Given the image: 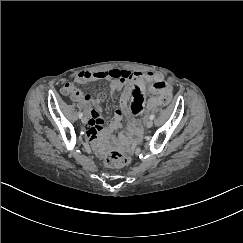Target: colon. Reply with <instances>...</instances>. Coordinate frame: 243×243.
<instances>
[{
    "mask_svg": "<svg viewBox=\"0 0 243 243\" xmlns=\"http://www.w3.org/2000/svg\"><path fill=\"white\" fill-rule=\"evenodd\" d=\"M78 93L79 91L76 88L72 90V95H77ZM169 102L170 98L164 99V105H167ZM122 104L126 110H130V98L128 96L123 97ZM128 162V156L116 149L111 150L105 158V165L111 168L124 167Z\"/></svg>",
    "mask_w": 243,
    "mask_h": 243,
    "instance_id": "obj_1",
    "label": "colon"
}]
</instances>
